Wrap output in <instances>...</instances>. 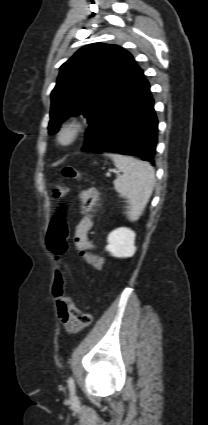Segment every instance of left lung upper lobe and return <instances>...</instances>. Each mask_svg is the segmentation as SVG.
<instances>
[{
    "mask_svg": "<svg viewBox=\"0 0 208 425\" xmlns=\"http://www.w3.org/2000/svg\"><path fill=\"white\" fill-rule=\"evenodd\" d=\"M140 70L133 56L117 45L95 43L79 49L61 66L51 93L49 133L70 116L83 114L91 124Z\"/></svg>",
    "mask_w": 208,
    "mask_h": 425,
    "instance_id": "5c2ea615",
    "label": "left lung upper lobe"
}]
</instances>
